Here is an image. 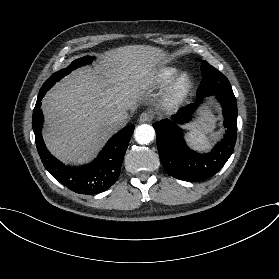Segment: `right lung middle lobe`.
<instances>
[{"label":"right lung middle lobe","instance_id":"right-lung-middle-lobe-1","mask_svg":"<svg viewBox=\"0 0 279 279\" xmlns=\"http://www.w3.org/2000/svg\"><path fill=\"white\" fill-rule=\"evenodd\" d=\"M93 60L90 56H85L79 59L74 60L71 65L67 68L60 70L59 72L54 73L42 86V88H46L48 90L51 88L55 82L59 81L65 75L69 74L72 70L76 69L77 67L83 66L85 64L91 63Z\"/></svg>","mask_w":279,"mask_h":279}]
</instances>
